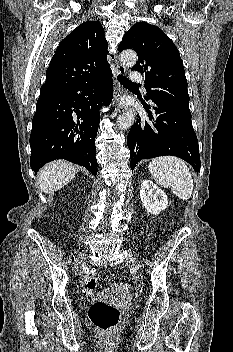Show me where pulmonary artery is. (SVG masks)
<instances>
[{
    "label": "pulmonary artery",
    "mask_w": 233,
    "mask_h": 352,
    "mask_svg": "<svg viewBox=\"0 0 233 352\" xmlns=\"http://www.w3.org/2000/svg\"><path fill=\"white\" fill-rule=\"evenodd\" d=\"M130 80L132 82L139 83V82H142L143 77H142V75L139 72L133 71L130 74Z\"/></svg>",
    "instance_id": "pulmonary-artery-1"
}]
</instances>
